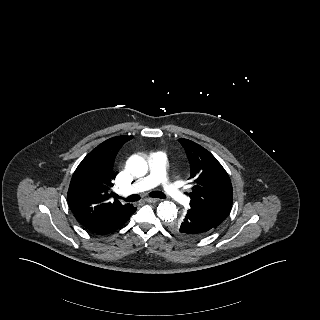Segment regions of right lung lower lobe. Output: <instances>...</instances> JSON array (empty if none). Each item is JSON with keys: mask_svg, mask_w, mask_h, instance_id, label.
<instances>
[{"mask_svg": "<svg viewBox=\"0 0 320 320\" xmlns=\"http://www.w3.org/2000/svg\"><path fill=\"white\" fill-rule=\"evenodd\" d=\"M135 211L136 208L130 204L126 209L106 216L91 225L85 226L84 228L92 234H108L123 226Z\"/></svg>", "mask_w": 320, "mask_h": 320, "instance_id": "right-lung-lower-lobe-1", "label": "right lung lower lobe"}]
</instances>
